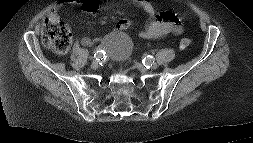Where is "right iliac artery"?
Instances as JSON below:
<instances>
[{"label":"right iliac artery","mask_w":253,"mask_h":143,"mask_svg":"<svg viewBox=\"0 0 253 143\" xmlns=\"http://www.w3.org/2000/svg\"><path fill=\"white\" fill-rule=\"evenodd\" d=\"M103 55H104L103 51L98 50L97 52H95L94 57H95L96 60H100V59L102 60Z\"/></svg>","instance_id":"1"}]
</instances>
